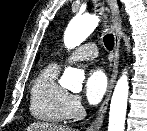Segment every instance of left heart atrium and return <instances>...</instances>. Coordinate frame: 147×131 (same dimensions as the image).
<instances>
[{
  "label": "left heart atrium",
  "instance_id": "1",
  "mask_svg": "<svg viewBox=\"0 0 147 131\" xmlns=\"http://www.w3.org/2000/svg\"><path fill=\"white\" fill-rule=\"evenodd\" d=\"M107 89V76L100 68L91 69L85 80L84 91L88 102L98 104Z\"/></svg>",
  "mask_w": 147,
  "mask_h": 131
}]
</instances>
